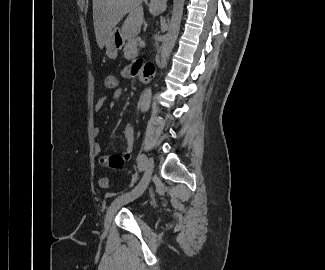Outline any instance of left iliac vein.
Returning <instances> with one entry per match:
<instances>
[{"instance_id": "obj_1", "label": "left iliac vein", "mask_w": 325, "mask_h": 270, "mask_svg": "<svg viewBox=\"0 0 325 270\" xmlns=\"http://www.w3.org/2000/svg\"><path fill=\"white\" fill-rule=\"evenodd\" d=\"M154 169V163L152 158H148L144 164V175L140 181V183L130 192L122 194L118 196L109 206L105 220H104V229L107 232L110 228L112 219L115 213L125 204L137 199L139 196L143 194V192L148 187L152 173Z\"/></svg>"}]
</instances>
